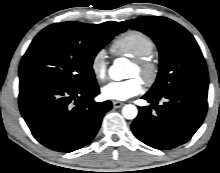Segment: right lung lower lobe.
<instances>
[{"mask_svg": "<svg viewBox=\"0 0 220 173\" xmlns=\"http://www.w3.org/2000/svg\"><path fill=\"white\" fill-rule=\"evenodd\" d=\"M96 84L72 88L46 79H21L19 107L33 136L45 147L72 152L89 143L110 101L95 102Z\"/></svg>", "mask_w": 220, "mask_h": 173, "instance_id": "98d812e1", "label": "right lung lower lobe"}]
</instances>
